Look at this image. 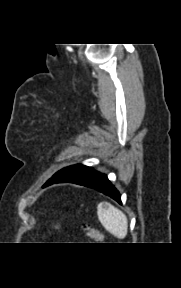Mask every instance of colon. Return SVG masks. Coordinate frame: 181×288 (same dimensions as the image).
Wrapping results in <instances>:
<instances>
[{"label":"colon","mask_w":181,"mask_h":288,"mask_svg":"<svg viewBox=\"0 0 181 288\" xmlns=\"http://www.w3.org/2000/svg\"><path fill=\"white\" fill-rule=\"evenodd\" d=\"M59 222L60 221H57L54 224V227H57L59 225ZM86 234H87V238L91 241H101L103 239V236L99 232V230L93 227H86Z\"/></svg>","instance_id":"1"}]
</instances>
